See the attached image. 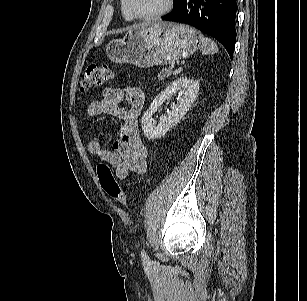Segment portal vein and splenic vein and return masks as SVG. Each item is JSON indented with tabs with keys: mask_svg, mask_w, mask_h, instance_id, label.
<instances>
[{
	"mask_svg": "<svg viewBox=\"0 0 307 301\" xmlns=\"http://www.w3.org/2000/svg\"><path fill=\"white\" fill-rule=\"evenodd\" d=\"M173 67H174V63H171V67L170 68L172 69Z\"/></svg>",
	"mask_w": 307,
	"mask_h": 301,
	"instance_id": "1",
	"label": "portal vein and splenic vein"
}]
</instances>
